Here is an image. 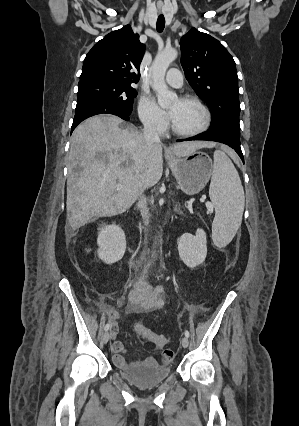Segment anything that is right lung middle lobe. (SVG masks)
I'll return each instance as SVG.
<instances>
[{
    "instance_id": "1",
    "label": "right lung middle lobe",
    "mask_w": 299,
    "mask_h": 426,
    "mask_svg": "<svg viewBox=\"0 0 299 426\" xmlns=\"http://www.w3.org/2000/svg\"><path fill=\"white\" fill-rule=\"evenodd\" d=\"M137 92L130 85L117 83H90L78 85L77 102L85 99H98L112 103L131 112Z\"/></svg>"
}]
</instances>
